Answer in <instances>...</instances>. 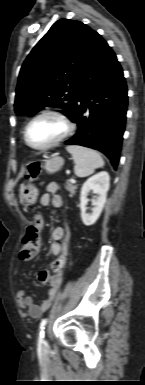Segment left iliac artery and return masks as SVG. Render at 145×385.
<instances>
[{"label": "left iliac artery", "instance_id": "44dca946", "mask_svg": "<svg viewBox=\"0 0 145 385\" xmlns=\"http://www.w3.org/2000/svg\"><path fill=\"white\" fill-rule=\"evenodd\" d=\"M47 324V319H43L40 323V327H39V343H43V338H44V328H45V325Z\"/></svg>", "mask_w": 145, "mask_h": 385}]
</instances>
